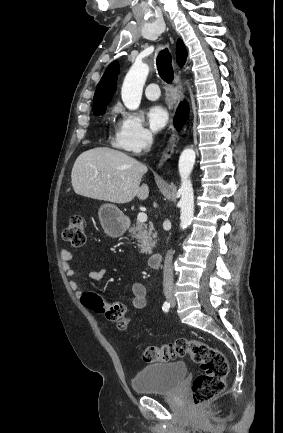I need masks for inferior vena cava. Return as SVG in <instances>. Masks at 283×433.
<instances>
[{"label":"inferior vena cava","instance_id":"1","mask_svg":"<svg viewBox=\"0 0 283 433\" xmlns=\"http://www.w3.org/2000/svg\"><path fill=\"white\" fill-rule=\"evenodd\" d=\"M152 140L150 138H145L143 148H149L151 146ZM172 261H173V253L172 251H168L166 257H165V263H164V269H163V291L165 295L167 293H173V267H172Z\"/></svg>","mask_w":283,"mask_h":433}]
</instances>
